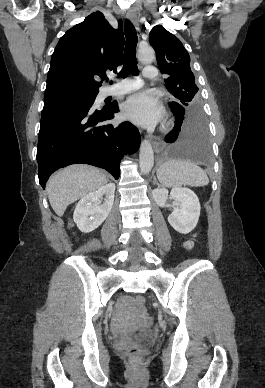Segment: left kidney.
Wrapping results in <instances>:
<instances>
[{"label": "left kidney", "instance_id": "left-kidney-1", "mask_svg": "<svg viewBox=\"0 0 265 388\" xmlns=\"http://www.w3.org/2000/svg\"><path fill=\"white\" fill-rule=\"evenodd\" d=\"M153 198L160 208H173L168 222L176 232L189 234L194 230L200 216L199 200L189 188H173L168 198L166 188H157L152 192ZM170 200L171 204H166ZM173 200V202H172Z\"/></svg>", "mask_w": 265, "mask_h": 388}]
</instances>
